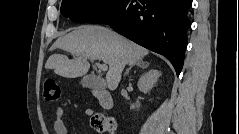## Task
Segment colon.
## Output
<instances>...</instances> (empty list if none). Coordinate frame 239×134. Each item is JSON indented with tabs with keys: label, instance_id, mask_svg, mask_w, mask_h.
Masks as SVG:
<instances>
[{
	"label": "colon",
	"instance_id": "5ec220e1",
	"mask_svg": "<svg viewBox=\"0 0 239 134\" xmlns=\"http://www.w3.org/2000/svg\"><path fill=\"white\" fill-rule=\"evenodd\" d=\"M61 90L53 78H45L43 81V96L49 102L59 100ZM92 127L102 134H115L117 130L116 121L103 114H95L91 118Z\"/></svg>",
	"mask_w": 239,
	"mask_h": 134
}]
</instances>
